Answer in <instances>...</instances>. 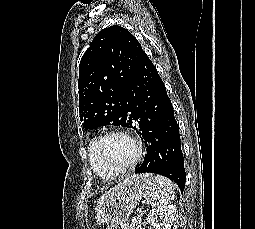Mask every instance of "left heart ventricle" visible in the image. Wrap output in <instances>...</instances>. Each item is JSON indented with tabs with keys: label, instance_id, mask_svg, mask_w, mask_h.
<instances>
[{
	"label": "left heart ventricle",
	"instance_id": "left-heart-ventricle-1",
	"mask_svg": "<svg viewBox=\"0 0 255 229\" xmlns=\"http://www.w3.org/2000/svg\"><path fill=\"white\" fill-rule=\"evenodd\" d=\"M100 153L106 163L114 167H121L134 159L136 149L126 137L110 136L101 144Z\"/></svg>",
	"mask_w": 255,
	"mask_h": 229
}]
</instances>
